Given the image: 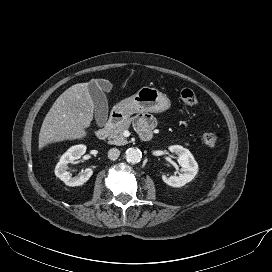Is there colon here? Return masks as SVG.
<instances>
[{
	"label": "colon",
	"mask_w": 272,
	"mask_h": 272,
	"mask_svg": "<svg viewBox=\"0 0 272 272\" xmlns=\"http://www.w3.org/2000/svg\"><path fill=\"white\" fill-rule=\"evenodd\" d=\"M180 98L182 102L188 106H196L198 103V98L195 92L190 88H185L180 93ZM202 143L210 148H214L218 144V137L214 133H204L201 137Z\"/></svg>",
	"instance_id": "colon-1"
}]
</instances>
